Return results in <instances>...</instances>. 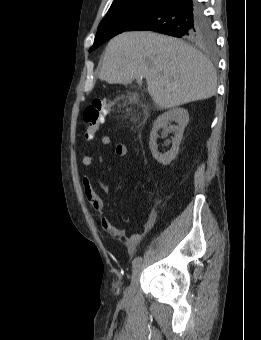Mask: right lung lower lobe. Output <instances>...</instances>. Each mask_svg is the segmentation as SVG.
<instances>
[{
  "instance_id": "1",
  "label": "right lung lower lobe",
  "mask_w": 261,
  "mask_h": 340,
  "mask_svg": "<svg viewBox=\"0 0 261 340\" xmlns=\"http://www.w3.org/2000/svg\"><path fill=\"white\" fill-rule=\"evenodd\" d=\"M202 16L197 0H161L127 31L150 30L181 38L187 27L197 23Z\"/></svg>"
}]
</instances>
